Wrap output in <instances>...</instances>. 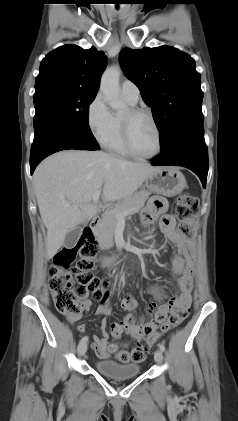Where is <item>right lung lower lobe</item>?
<instances>
[{"label": "right lung lower lobe", "mask_w": 238, "mask_h": 421, "mask_svg": "<svg viewBox=\"0 0 238 421\" xmlns=\"http://www.w3.org/2000/svg\"><path fill=\"white\" fill-rule=\"evenodd\" d=\"M34 131L30 154L31 174L44 158L55 152L67 149L97 150L100 148L98 143L87 140L56 120H46Z\"/></svg>", "instance_id": "right-lung-lower-lobe-1"}]
</instances>
